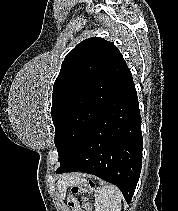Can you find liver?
Masks as SVG:
<instances>
[{"label":"liver","instance_id":"1","mask_svg":"<svg viewBox=\"0 0 178 211\" xmlns=\"http://www.w3.org/2000/svg\"><path fill=\"white\" fill-rule=\"evenodd\" d=\"M74 181L73 176H64L62 179L58 181V188H63Z\"/></svg>","mask_w":178,"mask_h":211}]
</instances>
